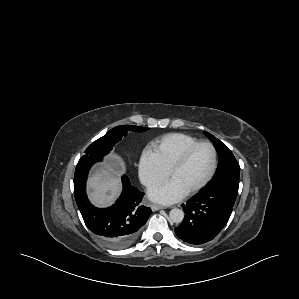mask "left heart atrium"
<instances>
[{"label":"left heart atrium","instance_id":"left-heart-atrium-1","mask_svg":"<svg viewBox=\"0 0 299 299\" xmlns=\"http://www.w3.org/2000/svg\"><path fill=\"white\" fill-rule=\"evenodd\" d=\"M185 194L186 191L173 180L154 187L149 191L150 198L162 204L175 203L182 199Z\"/></svg>","mask_w":299,"mask_h":299}]
</instances>
